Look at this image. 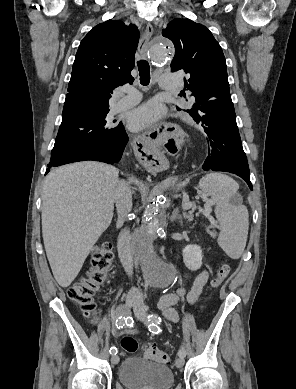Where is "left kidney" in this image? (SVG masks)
Masks as SVG:
<instances>
[{
	"mask_svg": "<svg viewBox=\"0 0 296 389\" xmlns=\"http://www.w3.org/2000/svg\"><path fill=\"white\" fill-rule=\"evenodd\" d=\"M202 249L198 245H188L183 250V261L186 267L192 271L202 266Z\"/></svg>",
	"mask_w": 296,
	"mask_h": 389,
	"instance_id": "5707ae66",
	"label": "left kidney"
}]
</instances>
